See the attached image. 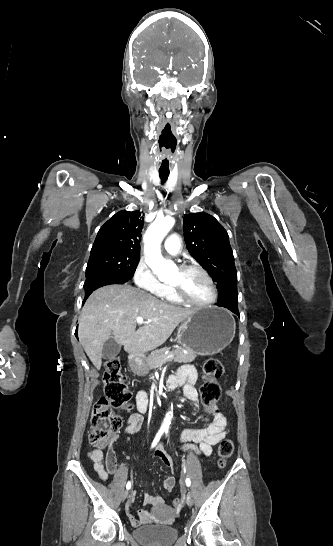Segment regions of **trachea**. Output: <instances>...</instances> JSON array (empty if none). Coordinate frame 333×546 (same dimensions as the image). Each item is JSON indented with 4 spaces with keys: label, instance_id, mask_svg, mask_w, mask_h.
<instances>
[{
    "label": "trachea",
    "instance_id": "1",
    "mask_svg": "<svg viewBox=\"0 0 333 546\" xmlns=\"http://www.w3.org/2000/svg\"><path fill=\"white\" fill-rule=\"evenodd\" d=\"M159 176H160L162 184H164L166 182V180L168 179L169 173L168 172H159Z\"/></svg>",
    "mask_w": 333,
    "mask_h": 546
}]
</instances>
